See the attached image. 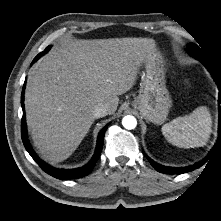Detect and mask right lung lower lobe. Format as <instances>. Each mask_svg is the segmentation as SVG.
Returning a JSON list of instances; mask_svg holds the SVG:
<instances>
[{
	"label": "right lung lower lobe",
	"mask_w": 221,
	"mask_h": 221,
	"mask_svg": "<svg viewBox=\"0 0 221 221\" xmlns=\"http://www.w3.org/2000/svg\"><path fill=\"white\" fill-rule=\"evenodd\" d=\"M45 53L46 52L44 51V52H41L40 54H38L34 58L33 63ZM24 88H25V83L23 85V90H22V95H21V105H22V109H23V117H22V121H21V136H22L23 144H24L26 150L28 151V153L31 155V157L34 159V161L47 174H49L57 179H78V178L88 175L92 171V169L94 168V166L100 156V153H101L102 147H103V142H104V134H105L106 129L108 128V125L105 126L101 130V132L99 133L95 154H94L92 160L87 165H85L81 168H77V169H58V168H54L52 166H49L48 164H46L44 161H42L35 154V152L31 148V145H30L29 140L27 138V128H26L25 114H24Z\"/></svg>",
	"instance_id": "obj_1"
}]
</instances>
